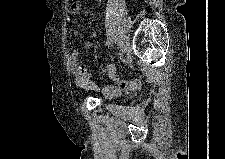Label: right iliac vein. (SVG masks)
<instances>
[{"label":"right iliac vein","instance_id":"obj_1","mask_svg":"<svg viewBox=\"0 0 225 159\" xmlns=\"http://www.w3.org/2000/svg\"><path fill=\"white\" fill-rule=\"evenodd\" d=\"M129 47V40L128 37H124L121 41V50L123 53H125L128 50Z\"/></svg>","mask_w":225,"mask_h":159}]
</instances>
